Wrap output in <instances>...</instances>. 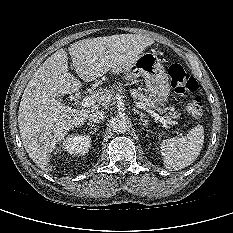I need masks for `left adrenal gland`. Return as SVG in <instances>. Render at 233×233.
Returning <instances> with one entry per match:
<instances>
[{
    "instance_id": "a2214340",
    "label": "left adrenal gland",
    "mask_w": 233,
    "mask_h": 233,
    "mask_svg": "<svg viewBox=\"0 0 233 233\" xmlns=\"http://www.w3.org/2000/svg\"><path fill=\"white\" fill-rule=\"evenodd\" d=\"M134 113L135 114H140V121L143 123L144 126H146L147 125V120L144 119L146 117V115L143 112L138 111L136 109H134Z\"/></svg>"
}]
</instances>
